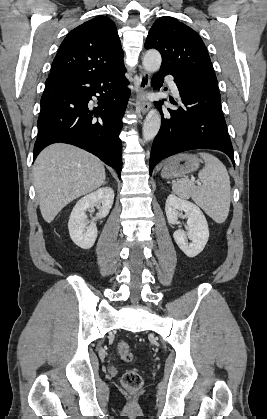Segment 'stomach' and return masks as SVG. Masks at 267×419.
<instances>
[{
  "label": "stomach",
  "mask_w": 267,
  "mask_h": 419,
  "mask_svg": "<svg viewBox=\"0 0 267 419\" xmlns=\"http://www.w3.org/2000/svg\"><path fill=\"white\" fill-rule=\"evenodd\" d=\"M201 160L193 154H179L170 158L162 170V177L173 179L197 170Z\"/></svg>",
  "instance_id": "stomach-1"
}]
</instances>
